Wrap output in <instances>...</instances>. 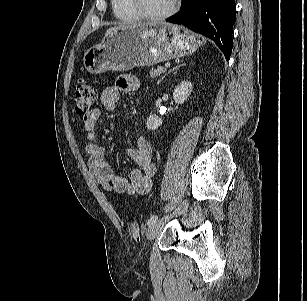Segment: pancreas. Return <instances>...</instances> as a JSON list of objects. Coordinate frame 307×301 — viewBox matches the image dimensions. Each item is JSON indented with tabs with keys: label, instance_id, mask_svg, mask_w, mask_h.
<instances>
[{
	"label": "pancreas",
	"instance_id": "1",
	"mask_svg": "<svg viewBox=\"0 0 307 301\" xmlns=\"http://www.w3.org/2000/svg\"><path fill=\"white\" fill-rule=\"evenodd\" d=\"M164 72H166V68H164L162 66H158L157 68H154L150 71V76H151L152 79H155Z\"/></svg>",
	"mask_w": 307,
	"mask_h": 301
}]
</instances>
